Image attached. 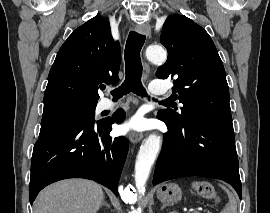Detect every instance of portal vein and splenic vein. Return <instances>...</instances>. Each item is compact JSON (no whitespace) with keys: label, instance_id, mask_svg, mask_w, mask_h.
I'll use <instances>...</instances> for the list:
<instances>
[{"label":"portal vein and splenic vein","instance_id":"portal-vein-and-splenic-vein-1","mask_svg":"<svg viewBox=\"0 0 270 213\" xmlns=\"http://www.w3.org/2000/svg\"><path fill=\"white\" fill-rule=\"evenodd\" d=\"M190 211H192L193 213H198L195 209H191Z\"/></svg>","mask_w":270,"mask_h":213}]
</instances>
